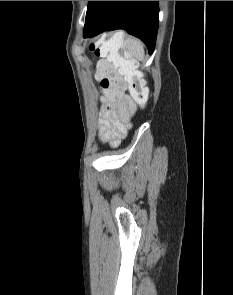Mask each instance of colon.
Masks as SVG:
<instances>
[{
	"instance_id": "colon-1",
	"label": "colon",
	"mask_w": 233,
	"mask_h": 295,
	"mask_svg": "<svg viewBox=\"0 0 233 295\" xmlns=\"http://www.w3.org/2000/svg\"><path fill=\"white\" fill-rule=\"evenodd\" d=\"M91 50L101 59L97 79L105 93H119L128 84L132 98L140 106L148 100L149 89L136 61L124 45V35L105 36L91 44Z\"/></svg>"
}]
</instances>
